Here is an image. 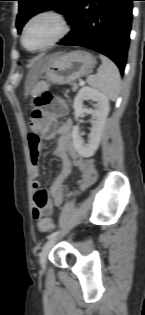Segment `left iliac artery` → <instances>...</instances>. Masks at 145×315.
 Masks as SVG:
<instances>
[{
	"label": "left iliac artery",
	"instance_id": "44dca946",
	"mask_svg": "<svg viewBox=\"0 0 145 315\" xmlns=\"http://www.w3.org/2000/svg\"><path fill=\"white\" fill-rule=\"evenodd\" d=\"M58 234H59V231H55V232L51 233L50 235H48L47 238H48V239L54 238V237H56Z\"/></svg>",
	"mask_w": 145,
	"mask_h": 315
}]
</instances>
